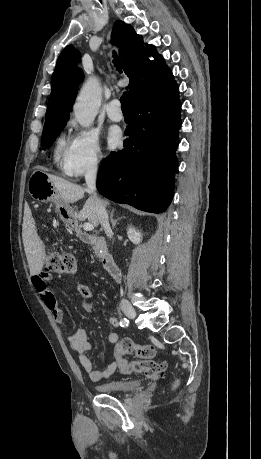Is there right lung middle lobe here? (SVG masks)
<instances>
[{
  "label": "right lung middle lobe",
  "instance_id": "right-lung-middle-lobe-1",
  "mask_svg": "<svg viewBox=\"0 0 261 459\" xmlns=\"http://www.w3.org/2000/svg\"><path fill=\"white\" fill-rule=\"evenodd\" d=\"M66 123L51 125V126H44L43 134H42V148H48L60 134V132L65 127Z\"/></svg>",
  "mask_w": 261,
  "mask_h": 459
}]
</instances>
